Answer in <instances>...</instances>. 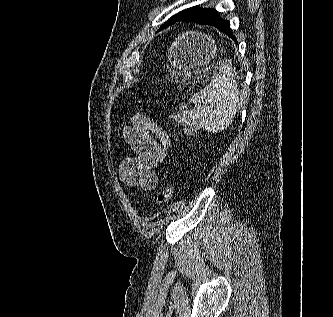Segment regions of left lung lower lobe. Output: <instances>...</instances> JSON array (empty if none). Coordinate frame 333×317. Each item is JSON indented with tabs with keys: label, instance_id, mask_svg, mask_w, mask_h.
<instances>
[{
	"label": "left lung lower lobe",
	"instance_id": "0a47b994",
	"mask_svg": "<svg viewBox=\"0 0 333 317\" xmlns=\"http://www.w3.org/2000/svg\"><path fill=\"white\" fill-rule=\"evenodd\" d=\"M178 21H188L197 24L214 26L218 30L232 38L235 42H237L230 28V22L223 19L214 8H196L190 11L188 14L184 15Z\"/></svg>",
	"mask_w": 333,
	"mask_h": 317
}]
</instances>
